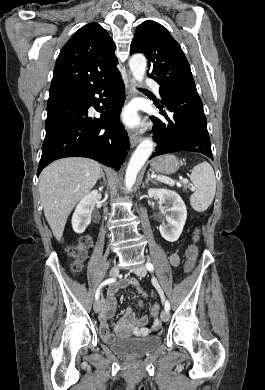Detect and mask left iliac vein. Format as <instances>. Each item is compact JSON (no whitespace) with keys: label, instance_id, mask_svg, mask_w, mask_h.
<instances>
[{"label":"left iliac vein","instance_id":"4c4485c4","mask_svg":"<svg viewBox=\"0 0 265 390\" xmlns=\"http://www.w3.org/2000/svg\"><path fill=\"white\" fill-rule=\"evenodd\" d=\"M134 273L140 277H144L147 274V269L144 265H139L134 268ZM160 317L163 322L168 321L170 317L169 311H162Z\"/></svg>","mask_w":265,"mask_h":390}]
</instances>
